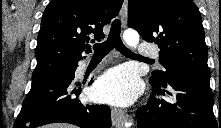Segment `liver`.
<instances>
[{"label":"liver","mask_w":221,"mask_h":128,"mask_svg":"<svg viewBox=\"0 0 221 128\" xmlns=\"http://www.w3.org/2000/svg\"><path fill=\"white\" fill-rule=\"evenodd\" d=\"M43 128H76V127L70 124L56 123V124L46 125Z\"/></svg>","instance_id":"liver-1"}]
</instances>
